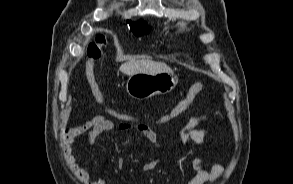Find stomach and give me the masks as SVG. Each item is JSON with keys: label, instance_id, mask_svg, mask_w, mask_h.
<instances>
[{"label": "stomach", "instance_id": "stomach-1", "mask_svg": "<svg viewBox=\"0 0 293 184\" xmlns=\"http://www.w3.org/2000/svg\"><path fill=\"white\" fill-rule=\"evenodd\" d=\"M177 83L178 78L173 72L136 73L129 77L126 90L130 97L142 100L157 94H167Z\"/></svg>", "mask_w": 293, "mask_h": 184}]
</instances>
